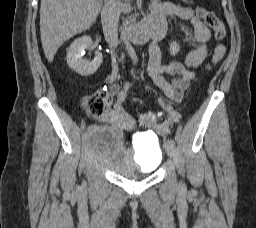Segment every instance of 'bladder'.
Instances as JSON below:
<instances>
[{"label":"bladder","instance_id":"1","mask_svg":"<svg viewBox=\"0 0 256 228\" xmlns=\"http://www.w3.org/2000/svg\"><path fill=\"white\" fill-rule=\"evenodd\" d=\"M91 157L114 174L126 179L150 174L157 169L162 159V150L157 139L143 138L136 149H126L122 133L108 127H97L88 138Z\"/></svg>","mask_w":256,"mask_h":228}]
</instances>
